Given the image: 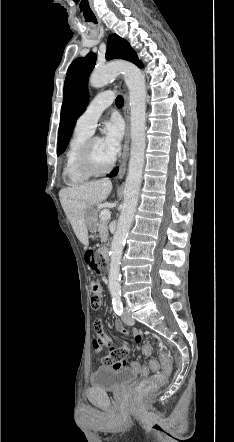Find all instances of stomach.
Segmentation results:
<instances>
[{"mask_svg": "<svg viewBox=\"0 0 234 442\" xmlns=\"http://www.w3.org/2000/svg\"><path fill=\"white\" fill-rule=\"evenodd\" d=\"M96 218H97L96 210L93 207L89 208L85 216V223L88 231L90 232L96 231Z\"/></svg>", "mask_w": 234, "mask_h": 442, "instance_id": "obj_1", "label": "stomach"}]
</instances>
